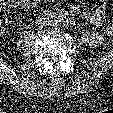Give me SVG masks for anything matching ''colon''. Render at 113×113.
I'll return each mask as SVG.
<instances>
[{
    "mask_svg": "<svg viewBox=\"0 0 113 113\" xmlns=\"http://www.w3.org/2000/svg\"><path fill=\"white\" fill-rule=\"evenodd\" d=\"M4 1H10V0H0V28L3 27V25L6 23L5 12L3 9V7L6 5V2ZM28 1H36V0H28Z\"/></svg>",
    "mask_w": 113,
    "mask_h": 113,
    "instance_id": "obj_1",
    "label": "colon"
}]
</instances>
